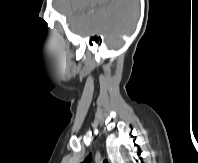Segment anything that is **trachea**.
I'll list each match as a JSON object with an SVG mask.
<instances>
[{"mask_svg":"<svg viewBox=\"0 0 198 163\" xmlns=\"http://www.w3.org/2000/svg\"><path fill=\"white\" fill-rule=\"evenodd\" d=\"M103 163H108V161L107 160H104V162Z\"/></svg>","mask_w":198,"mask_h":163,"instance_id":"3493384b","label":"trachea"}]
</instances>
